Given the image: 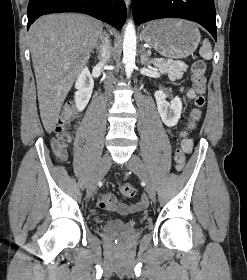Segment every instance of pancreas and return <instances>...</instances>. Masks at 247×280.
Here are the masks:
<instances>
[{"mask_svg":"<svg viewBox=\"0 0 247 280\" xmlns=\"http://www.w3.org/2000/svg\"><path fill=\"white\" fill-rule=\"evenodd\" d=\"M155 66L158 67L161 74H167L172 81L181 79L183 73L188 69V66L181 61L156 62Z\"/></svg>","mask_w":247,"mask_h":280,"instance_id":"1","label":"pancreas"}]
</instances>
